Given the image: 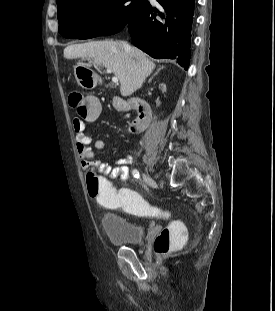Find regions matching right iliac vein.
Returning a JSON list of instances; mask_svg holds the SVG:
<instances>
[{"label": "right iliac vein", "mask_w": 275, "mask_h": 311, "mask_svg": "<svg viewBox=\"0 0 275 311\" xmlns=\"http://www.w3.org/2000/svg\"><path fill=\"white\" fill-rule=\"evenodd\" d=\"M142 177L148 186L153 187V188H155L157 186L155 180L150 175L143 173Z\"/></svg>", "instance_id": "1"}]
</instances>
